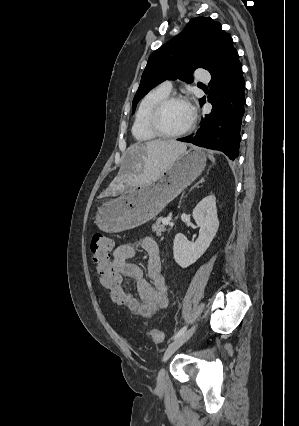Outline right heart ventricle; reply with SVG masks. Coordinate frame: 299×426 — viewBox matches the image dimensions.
Listing matches in <instances>:
<instances>
[{"label":"right heart ventricle","instance_id":"1","mask_svg":"<svg viewBox=\"0 0 299 426\" xmlns=\"http://www.w3.org/2000/svg\"><path fill=\"white\" fill-rule=\"evenodd\" d=\"M169 95V91L162 86L150 90L140 101L136 110L132 134L140 142H148L158 138L149 127V115L158 101Z\"/></svg>","mask_w":299,"mask_h":426}]
</instances>
